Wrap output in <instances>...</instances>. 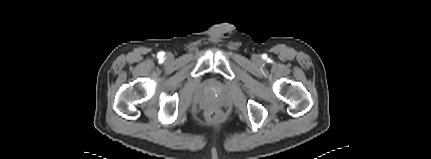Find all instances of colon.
<instances>
[{
  "instance_id": "colon-1",
  "label": "colon",
  "mask_w": 431,
  "mask_h": 159,
  "mask_svg": "<svg viewBox=\"0 0 431 159\" xmlns=\"http://www.w3.org/2000/svg\"><path fill=\"white\" fill-rule=\"evenodd\" d=\"M206 118L210 122H218L221 118V115L217 110L211 109L206 112Z\"/></svg>"
}]
</instances>
